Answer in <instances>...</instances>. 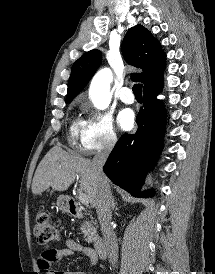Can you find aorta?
I'll list each match as a JSON object with an SVG mask.
<instances>
[{"label": "aorta", "instance_id": "1", "mask_svg": "<svg viewBox=\"0 0 215 274\" xmlns=\"http://www.w3.org/2000/svg\"><path fill=\"white\" fill-rule=\"evenodd\" d=\"M112 79V71L104 68L96 73L91 81L89 95L92 103L97 109H106L110 102V83Z\"/></svg>", "mask_w": 215, "mask_h": 274}]
</instances>
